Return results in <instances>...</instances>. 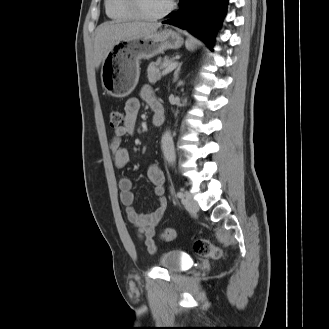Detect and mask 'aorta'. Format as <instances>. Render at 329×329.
Segmentation results:
<instances>
[{"instance_id": "aorta-1", "label": "aorta", "mask_w": 329, "mask_h": 329, "mask_svg": "<svg viewBox=\"0 0 329 329\" xmlns=\"http://www.w3.org/2000/svg\"><path fill=\"white\" fill-rule=\"evenodd\" d=\"M162 149L168 163L173 164L175 162L176 155L173 138L169 131H165L162 135Z\"/></svg>"}]
</instances>
